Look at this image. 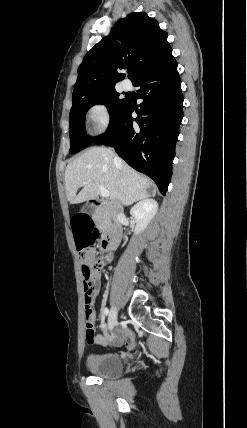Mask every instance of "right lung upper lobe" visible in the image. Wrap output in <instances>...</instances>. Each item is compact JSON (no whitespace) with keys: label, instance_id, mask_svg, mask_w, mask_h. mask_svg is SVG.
<instances>
[{"label":"right lung upper lobe","instance_id":"cb5924a9","mask_svg":"<svg viewBox=\"0 0 247 428\" xmlns=\"http://www.w3.org/2000/svg\"><path fill=\"white\" fill-rule=\"evenodd\" d=\"M172 55L167 33L145 12H134L119 20L108 37L84 57L78 70L72 100L115 87L124 78L117 70L131 68L134 83L144 73L158 67Z\"/></svg>","mask_w":247,"mask_h":428}]
</instances>
